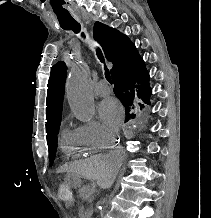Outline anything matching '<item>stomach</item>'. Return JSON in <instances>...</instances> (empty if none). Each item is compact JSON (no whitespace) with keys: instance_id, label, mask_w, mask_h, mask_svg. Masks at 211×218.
I'll return each instance as SVG.
<instances>
[{"instance_id":"stomach-1","label":"stomach","mask_w":211,"mask_h":218,"mask_svg":"<svg viewBox=\"0 0 211 218\" xmlns=\"http://www.w3.org/2000/svg\"><path fill=\"white\" fill-rule=\"evenodd\" d=\"M67 182L73 188H79L82 185L80 177L73 173L67 175Z\"/></svg>"}]
</instances>
